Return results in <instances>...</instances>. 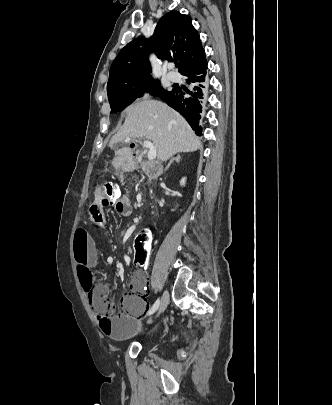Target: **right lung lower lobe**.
Instances as JSON below:
<instances>
[{
    "label": "right lung lower lobe",
    "mask_w": 332,
    "mask_h": 405,
    "mask_svg": "<svg viewBox=\"0 0 332 405\" xmlns=\"http://www.w3.org/2000/svg\"><path fill=\"white\" fill-rule=\"evenodd\" d=\"M206 70L207 61L204 58L181 73L187 77V83L192 85V91L184 87H174L173 90L160 96L163 101L185 117L199 136L202 132L199 126L200 113L205 105L208 88Z\"/></svg>",
    "instance_id": "1"
}]
</instances>
